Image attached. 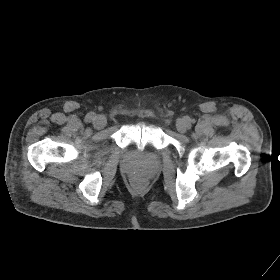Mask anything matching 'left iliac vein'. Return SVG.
Returning <instances> with one entry per match:
<instances>
[{
	"label": "left iliac vein",
	"instance_id": "obj_1",
	"mask_svg": "<svg viewBox=\"0 0 280 280\" xmlns=\"http://www.w3.org/2000/svg\"><path fill=\"white\" fill-rule=\"evenodd\" d=\"M176 128L178 132L185 133L188 129V123L184 119H178L176 121Z\"/></svg>",
	"mask_w": 280,
	"mask_h": 280
}]
</instances>
